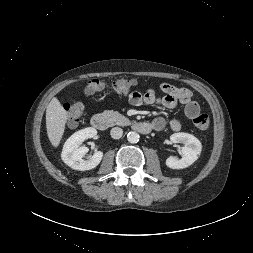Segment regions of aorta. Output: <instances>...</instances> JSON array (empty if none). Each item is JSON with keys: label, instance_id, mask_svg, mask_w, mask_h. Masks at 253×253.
Here are the masks:
<instances>
[{"label": "aorta", "instance_id": "aorta-1", "mask_svg": "<svg viewBox=\"0 0 253 253\" xmlns=\"http://www.w3.org/2000/svg\"><path fill=\"white\" fill-rule=\"evenodd\" d=\"M127 140L130 142V143H137L139 141V134L137 132H129L127 134Z\"/></svg>", "mask_w": 253, "mask_h": 253}]
</instances>
